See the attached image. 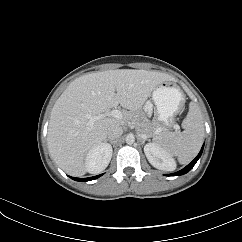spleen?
I'll use <instances>...</instances> for the list:
<instances>
[{"label": "spleen", "mask_w": 242, "mask_h": 242, "mask_svg": "<svg viewBox=\"0 0 242 242\" xmlns=\"http://www.w3.org/2000/svg\"><path fill=\"white\" fill-rule=\"evenodd\" d=\"M183 132H164L155 143L165 152L177 157L180 164L190 162L199 152L204 137V124L198 106L191 102L183 121Z\"/></svg>", "instance_id": "1"}]
</instances>
